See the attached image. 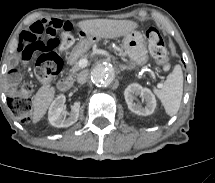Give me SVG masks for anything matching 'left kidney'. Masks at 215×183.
I'll list each match as a JSON object with an SVG mask.
<instances>
[{
    "instance_id": "left-kidney-1",
    "label": "left kidney",
    "mask_w": 215,
    "mask_h": 183,
    "mask_svg": "<svg viewBox=\"0 0 215 183\" xmlns=\"http://www.w3.org/2000/svg\"><path fill=\"white\" fill-rule=\"evenodd\" d=\"M125 101L128 108L135 114L147 116L151 115L156 108V99L148 88H143L137 83L130 84L124 91ZM140 96L145 101V107L135 103L136 97Z\"/></svg>"
}]
</instances>
